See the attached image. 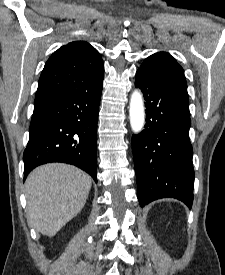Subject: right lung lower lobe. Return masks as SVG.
I'll return each mask as SVG.
<instances>
[{"label": "right lung lower lobe", "mask_w": 225, "mask_h": 275, "mask_svg": "<svg viewBox=\"0 0 225 275\" xmlns=\"http://www.w3.org/2000/svg\"><path fill=\"white\" fill-rule=\"evenodd\" d=\"M102 87L103 75L91 91H71L34 101L30 137L23 155L24 179L41 164L63 162L83 169L97 182V120Z\"/></svg>", "instance_id": "right-lung-lower-lobe-1"}]
</instances>
